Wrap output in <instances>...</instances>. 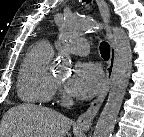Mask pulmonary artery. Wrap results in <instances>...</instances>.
Here are the masks:
<instances>
[{
  "mask_svg": "<svg viewBox=\"0 0 144 137\" xmlns=\"http://www.w3.org/2000/svg\"><path fill=\"white\" fill-rule=\"evenodd\" d=\"M57 46H59L58 42H57ZM66 49L70 53H73L79 56H85L90 51V42L89 40L85 38L72 39L70 42L67 43Z\"/></svg>",
  "mask_w": 144,
  "mask_h": 137,
  "instance_id": "obj_1",
  "label": "pulmonary artery"
}]
</instances>
